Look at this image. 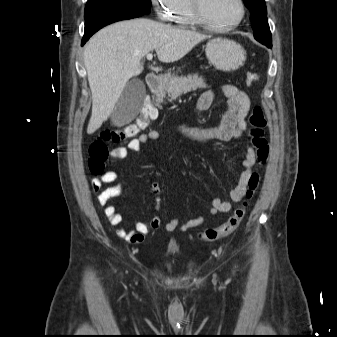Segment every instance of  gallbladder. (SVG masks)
<instances>
[{"label":"gallbladder","instance_id":"obj_1","mask_svg":"<svg viewBox=\"0 0 337 337\" xmlns=\"http://www.w3.org/2000/svg\"><path fill=\"white\" fill-rule=\"evenodd\" d=\"M145 98V87L140 79L129 81L112 112L111 119L115 125L129 123L140 111Z\"/></svg>","mask_w":337,"mask_h":337}]
</instances>
